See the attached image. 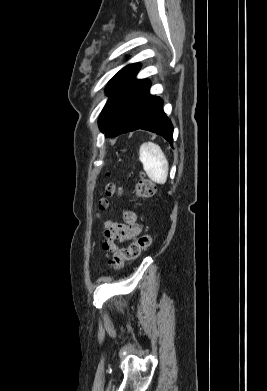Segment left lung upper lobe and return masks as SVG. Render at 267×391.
<instances>
[{
  "label": "left lung upper lobe",
  "instance_id": "1",
  "mask_svg": "<svg viewBox=\"0 0 267 391\" xmlns=\"http://www.w3.org/2000/svg\"><path fill=\"white\" fill-rule=\"evenodd\" d=\"M140 64H131L120 70L109 82L106 93L109 99L100 115L99 127L102 132L108 127L122 100L142 81L135 79Z\"/></svg>",
  "mask_w": 267,
  "mask_h": 391
}]
</instances>
